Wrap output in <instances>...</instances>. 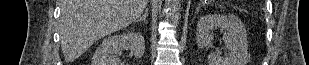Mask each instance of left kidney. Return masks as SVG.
<instances>
[{"label":"left kidney","mask_w":309,"mask_h":65,"mask_svg":"<svg viewBox=\"0 0 309 65\" xmlns=\"http://www.w3.org/2000/svg\"><path fill=\"white\" fill-rule=\"evenodd\" d=\"M220 28L228 53L222 56L220 51L208 56L209 65H245L248 58V40L246 29L235 15H206L197 25V44L206 47L213 42L212 31Z\"/></svg>","instance_id":"obj_1"}]
</instances>
